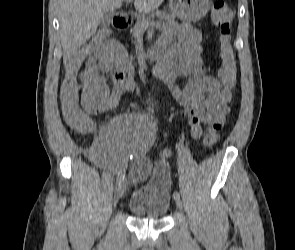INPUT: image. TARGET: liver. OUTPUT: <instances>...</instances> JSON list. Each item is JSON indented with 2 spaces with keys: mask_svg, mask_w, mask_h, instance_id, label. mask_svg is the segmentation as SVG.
Instances as JSON below:
<instances>
[{
  "mask_svg": "<svg viewBox=\"0 0 295 250\" xmlns=\"http://www.w3.org/2000/svg\"><path fill=\"white\" fill-rule=\"evenodd\" d=\"M124 0H58L60 38L66 62L97 31L104 15L119 9ZM164 0H135L138 12L151 13Z\"/></svg>",
  "mask_w": 295,
  "mask_h": 250,
  "instance_id": "6515ba94",
  "label": "liver"
}]
</instances>
